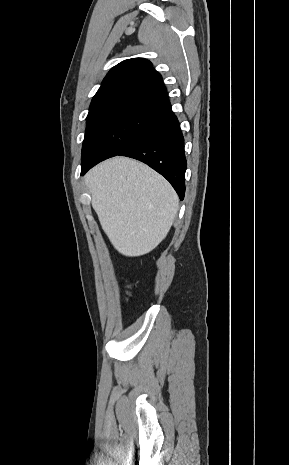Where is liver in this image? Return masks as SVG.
<instances>
[{
  "instance_id": "1",
  "label": "liver",
  "mask_w": 289,
  "mask_h": 465,
  "mask_svg": "<svg viewBox=\"0 0 289 465\" xmlns=\"http://www.w3.org/2000/svg\"><path fill=\"white\" fill-rule=\"evenodd\" d=\"M92 207L114 248L124 256L149 253L168 234L179 200L171 185L147 165L114 157L85 176Z\"/></svg>"
}]
</instances>
